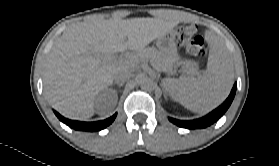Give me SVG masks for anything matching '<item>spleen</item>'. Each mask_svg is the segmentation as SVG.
I'll use <instances>...</instances> for the list:
<instances>
[{
	"label": "spleen",
	"instance_id": "spleen-1",
	"mask_svg": "<svg viewBox=\"0 0 279 166\" xmlns=\"http://www.w3.org/2000/svg\"><path fill=\"white\" fill-rule=\"evenodd\" d=\"M209 60L202 74L185 78H164L169 95L193 112H205L221 104L232 86V64L219 38L210 35Z\"/></svg>",
	"mask_w": 279,
	"mask_h": 166
}]
</instances>
